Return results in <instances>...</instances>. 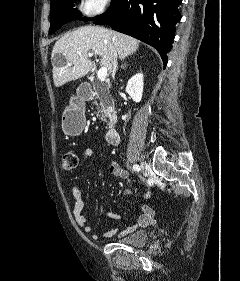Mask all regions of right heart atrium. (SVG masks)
<instances>
[{
	"label": "right heart atrium",
	"mask_w": 240,
	"mask_h": 281,
	"mask_svg": "<svg viewBox=\"0 0 240 281\" xmlns=\"http://www.w3.org/2000/svg\"><path fill=\"white\" fill-rule=\"evenodd\" d=\"M109 5L110 0H81L80 10L86 17L93 18L103 14Z\"/></svg>",
	"instance_id": "d8ad5b80"
}]
</instances>
